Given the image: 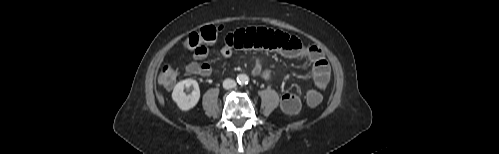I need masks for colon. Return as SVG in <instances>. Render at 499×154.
Here are the masks:
<instances>
[{
  "label": "colon",
  "instance_id": "5ec220e1",
  "mask_svg": "<svg viewBox=\"0 0 499 154\" xmlns=\"http://www.w3.org/2000/svg\"><path fill=\"white\" fill-rule=\"evenodd\" d=\"M220 28L216 26H205L198 32L190 33L183 41V46L190 50H196L206 42L215 40ZM177 79V70L170 64L162 67L159 74V83L165 88H172ZM306 102L311 107L318 106L322 101L321 94L316 89H309L306 93Z\"/></svg>",
  "mask_w": 499,
  "mask_h": 154
}]
</instances>
